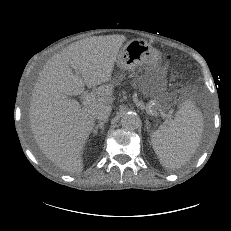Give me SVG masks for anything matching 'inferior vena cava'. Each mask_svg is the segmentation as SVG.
<instances>
[{
	"instance_id": "inferior-vena-cava-1",
	"label": "inferior vena cava",
	"mask_w": 231,
	"mask_h": 231,
	"mask_svg": "<svg viewBox=\"0 0 231 231\" xmlns=\"http://www.w3.org/2000/svg\"><path fill=\"white\" fill-rule=\"evenodd\" d=\"M112 107L111 105H104L98 108L95 112V118L100 121H105L110 116Z\"/></svg>"
}]
</instances>
